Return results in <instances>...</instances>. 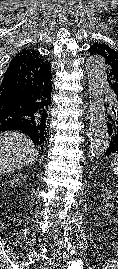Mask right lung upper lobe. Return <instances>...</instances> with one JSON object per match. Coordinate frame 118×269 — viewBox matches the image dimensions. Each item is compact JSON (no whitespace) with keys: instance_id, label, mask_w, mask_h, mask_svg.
Listing matches in <instances>:
<instances>
[{"instance_id":"right-lung-upper-lobe-1","label":"right lung upper lobe","mask_w":118,"mask_h":269,"mask_svg":"<svg viewBox=\"0 0 118 269\" xmlns=\"http://www.w3.org/2000/svg\"><path fill=\"white\" fill-rule=\"evenodd\" d=\"M51 68L34 49L23 50L9 63L0 86L1 91H30L37 94L36 125L45 132L47 111L51 104Z\"/></svg>"}]
</instances>
